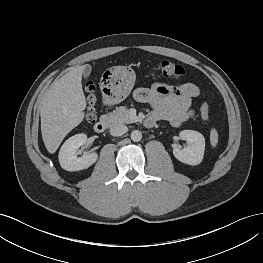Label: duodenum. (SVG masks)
Wrapping results in <instances>:
<instances>
[{"instance_id":"duodenum-1","label":"duodenum","mask_w":263,"mask_h":263,"mask_svg":"<svg viewBox=\"0 0 263 263\" xmlns=\"http://www.w3.org/2000/svg\"><path fill=\"white\" fill-rule=\"evenodd\" d=\"M108 125H109V119L105 117L96 121L93 128L96 133L100 134L106 131ZM145 125L153 126L154 125L153 120L147 117L145 120Z\"/></svg>"}]
</instances>
